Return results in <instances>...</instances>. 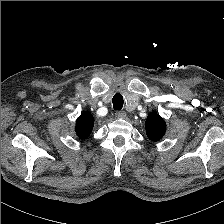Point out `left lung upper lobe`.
<instances>
[{
  "instance_id": "1",
  "label": "left lung upper lobe",
  "mask_w": 224,
  "mask_h": 224,
  "mask_svg": "<svg viewBox=\"0 0 224 224\" xmlns=\"http://www.w3.org/2000/svg\"><path fill=\"white\" fill-rule=\"evenodd\" d=\"M145 128L148 138L158 141L166 132V123L157 113H152L146 119Z\"/></svg>"
}]
</instances>
